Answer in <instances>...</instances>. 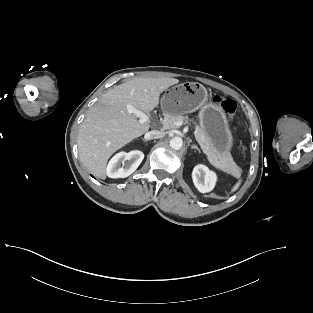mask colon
<instances>
[{"instance_id":"colon-1","label":"colon","mask_w":313,"mask_h":313,"mask_svg":"<svg viewBox=\"0 0 313 313\" xmlns=\"http://www.w3.org/2000/svg\"><path fill=\"white\" fill-rule=\"evenodd\" d=\"M214 103L220 106V108L222 109V111L225 113L229 120L233 119L235 112L237 110V103L235 100L229 97L215 96Z\"/></svg>"}]
</instances>
